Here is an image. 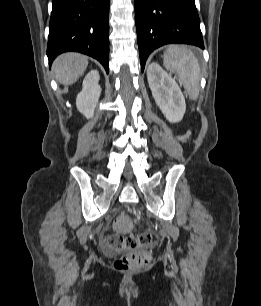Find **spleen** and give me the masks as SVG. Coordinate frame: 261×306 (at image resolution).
Instances as JSON below:
<instances>
[{
	"mask_svg": "<svg viewBox=\"0 0 261 306\" xmlns=\"http://www.w3.org/2000/svg\"><path fill=\"white\" fill-rule=\"evenodd\" d=\"M164 67L177 75L190 99L198 98L200 66L190 49L185 46H170L164 53Z\"/></svg>",
	"mask_w": 261,
	"mask_h": 306,
	"instance_id": "3e777b00",
	"label": "spleen"
}]
</instances>
